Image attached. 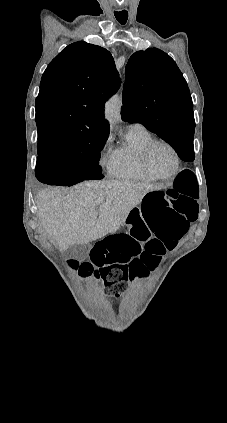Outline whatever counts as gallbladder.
Segmentation results:
<instances>
[{
  "label": "gallbladder",
  "mask_w": 227,
  "mask_h": 423,
  "mask_svg": "<svg viewBox=\"0 0 227 423\" xmlns=\"http://www.w3.org/2000/svg\"><path fill=\"white\" fill-rule=\"evenodd\" d=\"M91 247V243H76V245H70L69 249H67V253L70 257H73V259L84 261V259H87Z\"/></svg>",
  "instance_id": "1"
}]
</instances>
